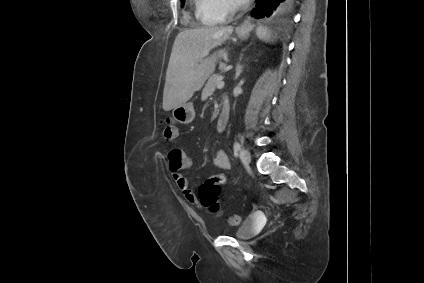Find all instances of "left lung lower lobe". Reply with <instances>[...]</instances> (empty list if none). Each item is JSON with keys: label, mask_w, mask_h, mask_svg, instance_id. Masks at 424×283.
<instances>
[{"label": "left lung lower lobe", "mask_w": 424, "mask_h": 283, "mask_svg": "<svg viewBox=\"0 0 424 283\" xmlns=\"http://www.w3.org/2000/svg\"><path fill=\"white\" fill-rule=\"evenodd\" d=\"M297 0H258L256 9H254L253 17L256 19L268 18L273 15H283L288 13Z\"/></svg>", "instance_id": "left-lung-lower-lobe-1"}]
</instances>
